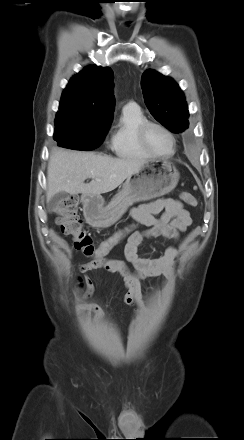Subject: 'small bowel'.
<instances>
[{
	"label": "small bowel",
	"mask_w": 244,
	"mask_h": 440,
	"mask_svg": "<svg viewBox=\"0 0 244 440\" xmlns=\"http://www.w3.org/2000/svg\"><path fill=\"white\" fill-rule=\"evenodd\" d=\"M160 214L159 217L156 215ZM131 216L139 223L146 227V230L132 233L125 245L124 254L126 259L132 263L135 268L134 273L126 270L122 262L118 267L110 272H119L123 278L124 285L127 289L124 295V301L127 305L134 306L139 314L145 313V307L142 300L141 280L164 276L168 279L172 277L175 259L178 250L175 246L169 247L165 253L155 259L140 258L137 255L138 245L145 238L165 237L173 240L179 239L180 232H183L191 225L192 219L190 213L183 207L182 203L175 199H159L148 204H144L133 208ZM81 271L87 273L96 269L91 262L83 264ZM86 283L88 292L93 290V281L86 275ZM169 288L163 291V296H167ZM82 308L95 312L97 317L102 316V311L95 304H84ZM137 321L133 322L129 329L131 330Z\"/></svg>",
	"instance_id": "small-bowel-1"
}]
</instances>
